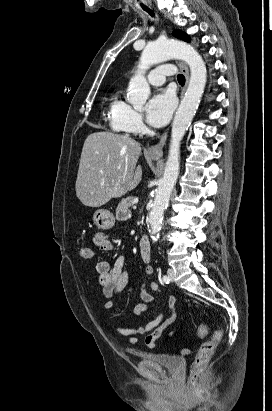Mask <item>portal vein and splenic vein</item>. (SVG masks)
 I'll return each instance as SVG.
<instances>
[{"label": "portal vein and splenic vein", "mask_w": 272, "mask_h": 411, "mask_svg": "<svg viewBox=\"0 0 272 411\" xmlns=\"http://www.w3.org/2000/svg\"><path fill=\"white\" fill-rule=\"evenodd\" d=\"M138 203V198H134L133 199V204H137Z\"/></svg>", "instance_id": "portal-vein-and-splenic-vein-1"}]
</instances>
